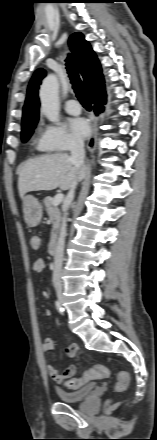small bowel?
<instances>
[{
    "instance_id": "small-bowel-1",
    "label": "small bowel",
    "mask_w": 157,
    "mask_h": 440,
    "mask_svg": "<svg viewBox=\"0 0 157 440\" xmlns=\"http://www.w3.org/2000/svg\"><path fill=\"white\" fill-rule=\"evenodd\" d=\"M35 271L37 272H41L42 270H37L34 268ZM44 314L46 316H50L51 315V311L49 309L45 310ZM54 348V340L52 338H45L42 342V350L43 352H50L51 350H53ZM67 356L69 357H73L76 355L77 353V346L76 345H70L69 347L66 348L65 350ZM47 371L48 374L50 375V377L58 384H63V382L69 378L72 377L76 374L77 372V368L75 365H70L67 367V369L60 374L57 369L53 366V365H47Z\"/></svg>"
}]
</instances>
